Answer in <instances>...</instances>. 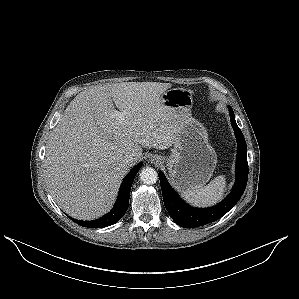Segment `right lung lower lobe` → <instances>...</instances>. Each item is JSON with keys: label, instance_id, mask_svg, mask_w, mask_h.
I'll return each mask as SVG.
<instances>
[{"label": "right lung lower lobe", "instance_id": "98d812e1", "mask_svg": "<svg viewBox=\"0 0 299 299\" xmlns=\"http://www.w3.org/2000/svg\"><path fill=\"white\" fill-rule=\"evenodd\" d=\"M142 166V163L140 162L137 164L124 178L119 194L117 197V202L115 204V207L105 216L92 220V221H81L76 220L73 218H70L72 221L76 222L80 226L88 227V228H102L110 226L117 221H119L127 211L128 205H129V196H130V189L134 180V177L136 176L137 172L139 171L140 167Z\"/></svg>", "mask_w": 299, "mask_h": 299}]
</instances>
